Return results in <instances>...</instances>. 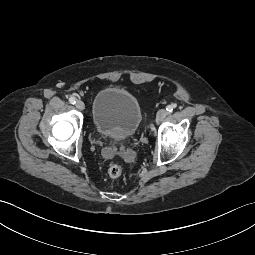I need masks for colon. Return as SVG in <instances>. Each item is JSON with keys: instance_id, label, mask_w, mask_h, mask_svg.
Wrapping results in <instances>:
<instances>
[{"instance_id": "5ec220e1", "label": "colon", "mask_w": 255, "mask_h": 255, "mask_svg": "<svg viewBox=\"0 0 255 255\" xmlns=\"http://www.w3.org/2000/svg\"><path fill=\"white\" fill-rule=\"evenodd\" d=\"M122 167L119 164H111L108 168V176L112 179L119 178L122 175Z\"/></svg>"}]
</instances>
